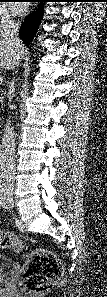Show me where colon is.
Masks as SVG:
<instances>
[{
    "label": "colon",
    "mask_w": 107,
    "mask_h": 297,
    "mask_svg": "<svg viewBox=\"0 0 107 297\" xmlns=\"http://www.w3.org/2000/svg\"><path fill=\"white\" fill-rule=\"evenodd\" d=\"M0 246L2 248H19L16 237L4 231L0 233ZM61 271L60 262L51 252L45 249H36L29 255L21 279L22 288L30 294L45 293L57 281Z\"/></svg>",
    "instance_id": "colon-1"
}]
</instances>
